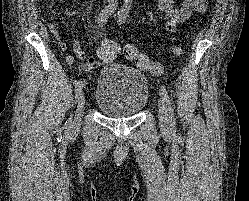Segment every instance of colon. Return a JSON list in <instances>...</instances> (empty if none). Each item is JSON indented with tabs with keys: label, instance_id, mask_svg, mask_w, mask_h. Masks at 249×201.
<instances>
[{
	"label": "colon",
	"instance_id": "1",
	"mask_svg": "<svg viewBox=\"0 0 249 201\" xmlns=\"http://www.w3.org/2000/svg\"><path fill=\"white\" fill-rule=\"evenodd\" d=\"M171 52L174 56H181L183 48L180 44H176L172 47ZM119 53V46L110 40H104L98 49V56L105 62L116 60ZM124 55L128 60L134 62L138 68L145 70L152 75L158 76L163 72V66L161 63L151 60L149 56L138 51V49L133 45H127L125 47Z\"/></svg>",
	"mask_w": 249,
	"mask_h": 201
}]
</instances>
